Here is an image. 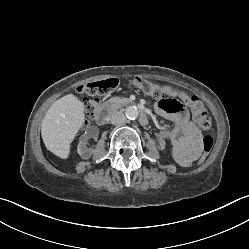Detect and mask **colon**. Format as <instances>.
Returning <instances> with one entry per match:
<instances>
[{"label": "colon", "instance_id": "5ec220e1", "mask_svg": "<svg viewBox=\"0 0 249 249\" xmlns=\"http://www.w3.org/2000/svg\"><path fill=\"white\" fill-rule=\"evenodd\" d=\"M130 84L148 95L167 101L169 100L163 87L144 78L136 77L130 81ZM116 86L117 81L115 79H106L82 84L76 88L78 93L87 96L84 102V109L88 117L92 118L95 116L100 97L108 93ZM192 109L197 125L201 130L206 132V135L202 140V157H205L211 151L213 146V137L210 133L212 129V120L208 111L198 99L193 100Z\"/></svg>", "mask_w": 249, "mask_h": 249}]
</instances>
